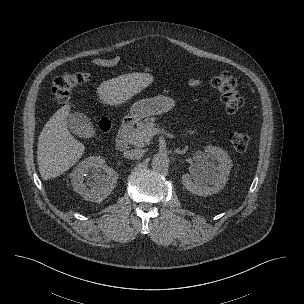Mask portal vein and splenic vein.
<instances>
[{"label": "portal vein and splenic vein", "instance_id": "obj_1", "mask_svg": "<svg viewBox=\"0 0 304 304\" xmlns=\"http://www.w3.org/2000/svg\"><path fill=\"white\" fill-rule=\"evenodd\" d=\"M158 133H160V130L157 129V128H153V129H150L149 135L150 136H154V135H156Z\"/></svg>", "mask_w": 304, "mask_h": 304}]
</instances>
